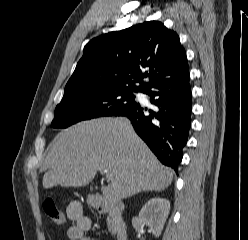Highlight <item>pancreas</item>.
<instances>
[{"mask_svg":"<svg viewBox=\"0 0 248 240\" xmlns=\"http://www.w3.org/2000/svg\"><path fill=\"white\" fill-rule=\"evenodd\" d=\"M109 230H111V227H110V225H109Z\"/></svg>","mask_w":248,"mask_h":240,"instance_id":"pancreas-1","label":"pancreas"}]
</instances>
